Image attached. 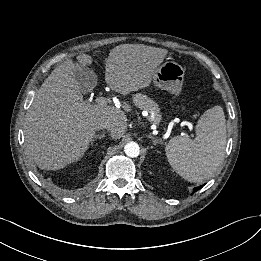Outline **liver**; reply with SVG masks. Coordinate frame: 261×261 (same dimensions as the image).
Returning a JSON list of instances; mask_svg holds the SVG:
<instances>
[{"instance_id":"liver-1","label":"liver","mask_w":261,"mask_h":261,"mask_svg":"<svg viewBox=\"0 0 261 261\" xmlns=\"http://www.w3.org/2000/svg\"><path fill=\"white\" fill-rule=\"evenodd\" d=\"M166 49L143 44H122L106 60L105 81L122 95L148 87ZM92 57L77 56L55 68L39 88L24 125L27 154L39 168L59 170L78 161L99 126H112L111 137L120 139L127 130L125 112L111 105L91 104L83 99L74 78L78 65H91ZM124 109L130 107L124 103Z\"/></svg>"}]
</instances>
